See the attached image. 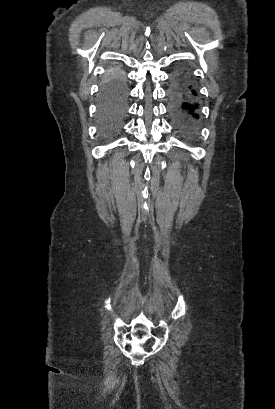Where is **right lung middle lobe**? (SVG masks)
Listing matches in <instances>:
<instances>
[{
	"label": "right lung middle lobe",
	"mask_w": 275,
	"mask_h": 409,
	"mask_svg": "<svg viewBox=\"0 0 275 409\" xmlns=\"http://www.w3.org/2000/svg\"><path fill=\"white\" fill-rule=\"evenodd\" d=\"M127 85L124 74L112 69L101 87L98 117L102 137L108 139L117 134L126 115Z\"/></svg>",
	"instance_id": "right-lung-middle-lobe-1"
}]
</instances>
